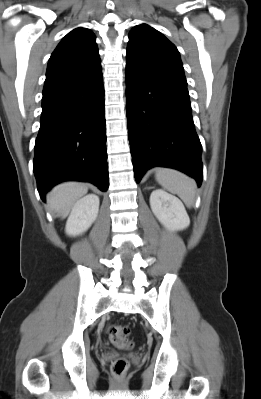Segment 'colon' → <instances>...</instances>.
Segmentation results:
<instances>
[{"label":"colon","mask_w":261,"mask_h":399,"mask_svg":"<svg viewBox=\"0 0 261 399\" xmlns=\"http://www.w3.org/2000/svg\"><path fill=\"white\" fill-rule=\"evenodd\" d=\"M129 329L123 325L109 327L108 335L112 344L120 349H131L134 343L128 339ZM129 368V363L124 358H119L112 363V372L116 376L124 375Z\"/></svg>","instance_id":"1"}]
</instances>
